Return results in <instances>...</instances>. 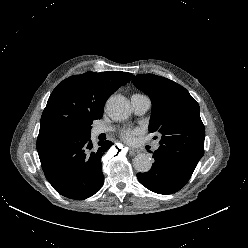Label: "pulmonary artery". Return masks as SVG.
<instances>
[{
  "mask_svg": "<svg viewBox=\"0 0 248 248\" xmlns=\"http://www.w3.org/2000/svg\"><path fill=\"white\" fill-rule=\"evenodd\" d=\"M131 105L136 115H143L145 114L148 109L150 108V100L147 96L141 94H134L131 96ZM111 129L107 126H97L92 129L93 136H98L102 133H106ZM159 145L155 146L157 149Z\"/></svg>",
  "mask_w": 248,
  "mask_h": 248,
  "instance_id": "1",
  "label": "pulmonary artery"
}]
</instances>
